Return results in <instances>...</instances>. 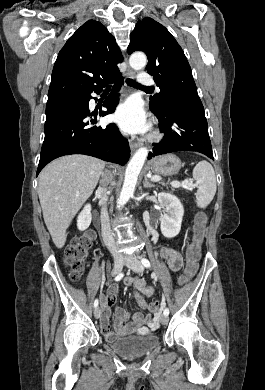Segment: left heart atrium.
<instances>
[{"instance_id": "left-heart-atrium-1", "label": "left heart atrium", "mask_w": 265, "mask_h": 390, "mask_svg": "<svg viewBox=\"0 0 265 390\" xmlns=\"http://www.w3.org/2000/svg\"><path fill=\"white\" fill-rule=\"evenodd\" d=\"M114 119L127 133H144L149 128L146 114L136 100H128L121 104L114 114Z\"/></svg>"}]
</instances>
